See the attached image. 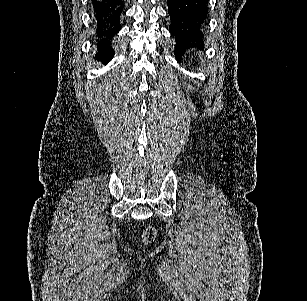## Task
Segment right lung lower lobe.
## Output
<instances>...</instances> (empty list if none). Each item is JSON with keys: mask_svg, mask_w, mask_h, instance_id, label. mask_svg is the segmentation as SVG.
Returning a JSON list of instances; mask_svg holds the SVG:
<instances>
[{"mask_svg": "<svg viewBox=\"0 0 307 301\" xmlns=\"http://www.w3.org/2000/svg\"><path fill=\"white\" fill-rule=\"evenodd\" d=\"M91 12L96 29V40L99 55L109 60L114 51L110 47L111 39L120 30V15L124 6L122 0H91Z\"/></svg>", "mask_w": 307, "mask_h": 301, "instance_id": "right-lung-lower-lobe-1", "label": "right lung lower lobe"}]
</instances>
